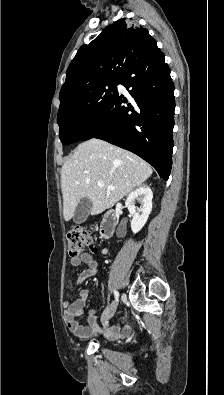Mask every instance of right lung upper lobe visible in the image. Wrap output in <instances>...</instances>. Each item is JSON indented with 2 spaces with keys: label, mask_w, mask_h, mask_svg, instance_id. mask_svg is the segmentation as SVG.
<instances>
[{
  "label": "right lung upper lobe",
  "mask_w": 224,
  "mask_h": 395,
  "mask_svg": "<svg viewBox=\"0 0 224 395\" xmlns=\"http://www.w3.org/2000/svg\"><path fill=\"white\" fill-rule=\"evenodd\" d=\"M156 41L143 27L119 19L103 29L88 45H82L71 61L66 81L60 91V102L97 83L122 78L131 65Z\"/></svg>",
  "instance_id": "right-lung-upper-lobe-1"
}]
</instances>
